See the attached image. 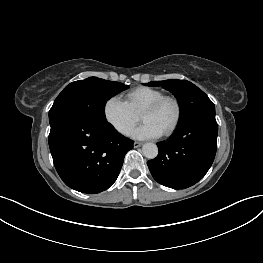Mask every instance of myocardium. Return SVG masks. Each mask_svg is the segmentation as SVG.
Instances as JSON below:
<instances>
[{
  "mask_svg": "<svg viewBox=\"0 0 263 263\" xmlns=\"http://www.w3.org/2000/svg\"><path fill=\"white\" fill-rule=\"evenodd\" d=\"M165 102H171V103H173V105L175 107L174 119H173L172 123L170 124V126L163 132V135L169 136L178 127L179 122L181 120V116H182V106H181V103H180V101H179V99L177 97L172 96V95H163V96L157 98L156 100L150 102L149 104H147L143 108L141 113H143L145 111L156 110L159 107H161Z\"/></svg>",
  "mask_w": 263,
  "mask_h": 263,
  "instance_id": "f54148a6",
  "label": "myocardium"
}]
</instances>
